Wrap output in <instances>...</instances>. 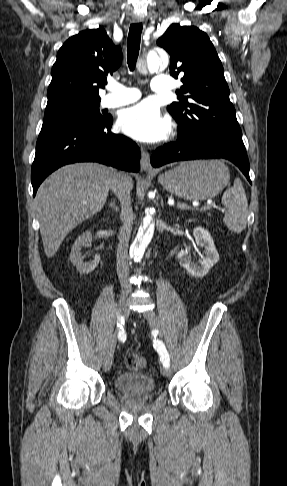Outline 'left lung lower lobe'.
<instances>
[{
    "label": "left lung lower lobe",
    "mask_w": 287,
    "mask_h": 486,
    "mask_svg": "<svg viewBox=\"0 0 287 486\" xmlns=\"http://www.w3.org/2000/svg\"><path fill=\"white\" fill-rule=\"evenodd\" d=\"M220 158L238 166L251 183L250 166L243 141L217 134L207 135L179 130L176 142L155 150L151 156V164L160 167L175 161Z\"/></svg>",
    "instance_id": "1"
}]
</instances>
